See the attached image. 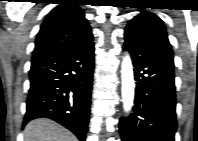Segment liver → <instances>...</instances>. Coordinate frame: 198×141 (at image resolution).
<instances>
[{
	"label": "liver",
	"instance_id": "obj_1",
	"mask_svg": "<svg viewBox=\"0 0 198 141\" xmlns=\"http://www.w3.org/2000/svg\"><path fill=\"white\" fill-rule=\"evenodd\" d=\"M23 134L24 141H77L70 131L46 118L30 121Z\"/></svg>",
	"mask_w": 198,
	"mask_h": 141
}]
</instances>
